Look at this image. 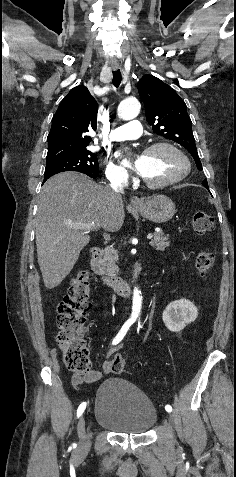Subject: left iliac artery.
Instances as JSON below:
<instances>
[{"instance_id":"1","label":"left iliac artery","mask_w":236,"mask_h":477,"mask_svg":"<svg viewBox=\"0 0 236 477\" xmlns=\"http://www.w3.org/2000/svg\"><path fill=\"white\" fill-rule=\"evenodd\" d=\"M165 410L172 411V407H171L170 405H166V406H165Z\"/></svg>"}]
</instances>
